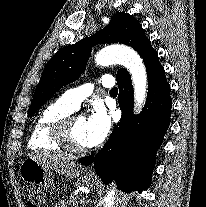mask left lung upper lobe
Here are the masks:
<instances>
[{
  "label": "left lung upper lobe",
  "instance_id": "1",
  "mask_svg": "<svg viewBox=\"0 0 206 207\" xmlns=\"http://www.w3.org/2000/svg\"><path fill=\"white\" fill-rule=\"evenodd\" d=\"M101 43H123L134 48L140 56L151 46L142 26L133 16L117 13L111 18L106 28L91 37L62 48L51 58L36 87L28 117L34 115L62 86L73 82L83 73L92 46ZM126 73H128L126 69H119L116 79Z\"/></svg>",
  "mask_w": 206,
  "mask_h": 207
}]
</instances>
